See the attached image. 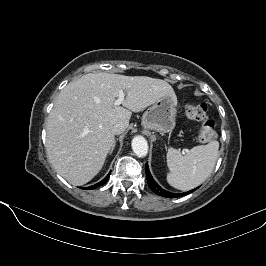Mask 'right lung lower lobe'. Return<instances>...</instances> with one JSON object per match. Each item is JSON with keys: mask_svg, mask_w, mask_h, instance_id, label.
Instances as JSON below:
<instances>
[{"mask_svg": "<svg viewBox=\"0 0 266 266\" xmlns=\"http://www.w3.org/2000/svg\"><path fill=\"white\" fill-rule=\"evenodd\" d=\"M109 176H110V173L102 181H100L99 183H97L95 185H92V186H90L88 188H84V189H94L96 187L104 185L107 182V180L109 179Z\"/></svg>", "mask_w": 266, "mask_h": 266, "instance_id": "obj_1", "label": "right lung lower lobe"}]
</instances>
